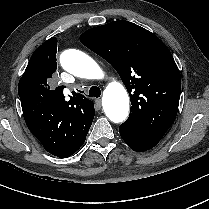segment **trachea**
<instances>
[{"mask_svg": "<svg viewBox=\"0 0 209 209\" xmlns=\"http://www.w3.org/2000/svg\"><path fill=\"white\" fill-rule=\"evenodd\" d=\"M88 96L89 97H96V98L100 97L101 96L100 88L97 86H92L89 90Z\"/></svg>", "mask_w": 209, "mask_h": 209, "instance_id": "1", "label": "trachea"}]
</instances>
